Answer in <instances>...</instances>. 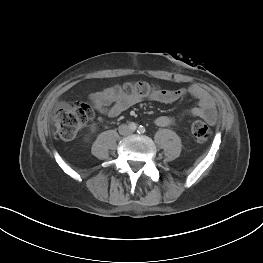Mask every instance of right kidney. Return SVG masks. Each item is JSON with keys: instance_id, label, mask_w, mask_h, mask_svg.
Instances as JSON below:
<instances>
[{"instance_id": "right-kidney-1", "label": "right kidney", "mask_w": 263, "mask_h": 263, "mask_svg": "<svg viewBox=\"0 0 263 263\" xmlns=\"http://www.w3.org/2000/svg\"><path fill=\"white\" fill-rule=\"evenodd\" d=\"M94 128H95V127H94V126H92V130H94Z\"/></svg>"}]
</instances>
